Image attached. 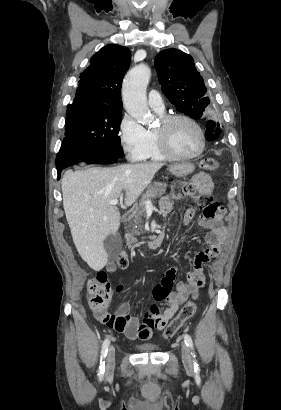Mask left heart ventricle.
<instances>
[{"label":"left heart ventricle","mask_w":281,"mask_h":410,"mask_svg":"<svg viewBox=\"0 0 281 410\" xmlns=\"http://www.w3.org/2000/svg\"><path fill=\"white\" fill-rule=\"evenodd\" d=\"M158 128L159 126L156 129ZM167 138L172 149L181 155H192L201 146V139L197 129L183 120L176 121L169 127Z\"/></svg>","instance_id":"b2bd125f"}]
</instances>
